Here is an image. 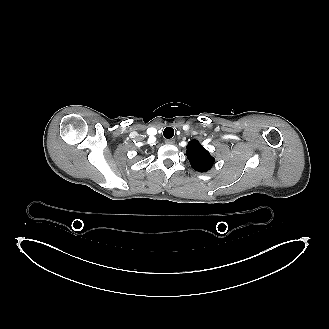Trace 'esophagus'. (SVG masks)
Wrapping results in <instances>:
<instances>
[{
    "instance_id": "obj_1",
    "label": "esophagus",
    "mask_w": 329,
    "mask_h": 329,
    "mask_svg": "<svg viewBox=\"0 0 329 329\" xmlns=\"http://www.w3.org/2000/svg\"><path fill=\"white\" fill-rule=\"evenodd\" d=\"M165 143L168 144V145H173L175 143V140L174 139H167V140H165Z\"/></svg>"
}]
</instances>
